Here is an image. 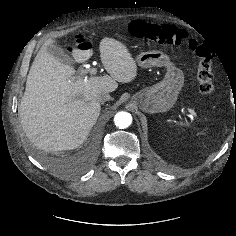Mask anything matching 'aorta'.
<instances>
[{
	"mask_svg": "<svg viewBox=\"0 0 236 236\" xmlns=\"http://www.w3.org/2000/svg\"><path fill=\"white\" fill-rule=\"evenodd\" d=\"M114 123L120 129L128 128L132 123V116L128 112L120 111L116 113Z\"/></svg>",
	"mask_w": 236,
	"mask_h": 236,
	"instance_id": "obj_1",
	"label": "aorta"
}]
</instances>
